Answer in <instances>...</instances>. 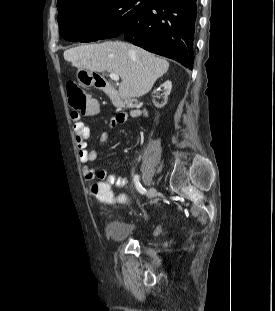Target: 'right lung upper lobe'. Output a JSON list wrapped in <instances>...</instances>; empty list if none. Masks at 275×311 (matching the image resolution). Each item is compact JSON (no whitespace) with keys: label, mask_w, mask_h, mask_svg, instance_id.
I'll list each match as a JSON object with an SVG mask.
<instances>
[{"label":"right lung upper lobe","mask_w":275,"mask_h":311,"mask_svg":"<svg viewBox=\"0 0 275 311\" xmlns=\"http://www.w3.org/2000/svg\"><path fill=\"white\" fill-rule=\"evenodd\" d=\"M68 1H71V0H58L57 5H60L62 3L68 2Z\"/></svg>","instance_id":"cb5924a9"}]
</instances>
